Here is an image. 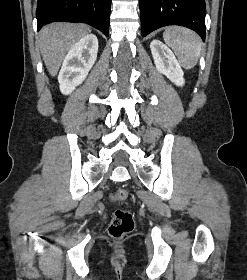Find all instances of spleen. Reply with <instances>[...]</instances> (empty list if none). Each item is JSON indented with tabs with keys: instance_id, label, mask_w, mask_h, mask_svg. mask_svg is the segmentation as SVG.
Listing matches in <instances>:
<instances>
[{
	"instance_id": "spleen-1",
	"label": "spleen",
	"mask_w": 247,
	"mask_h": 280,
	"mask_svg": "<svg viewBox=\"0 0 247 280\" xmlns=\"http://www.w3.org/2000/svg\"><path fill=\"white\" fill-rule=\"evenodd\" d=\"M163 38L175 52L183 68L192 69L197 64L201 53V39L194 31L179 26L167 27Z\"/></svg>"
}]
</instances>
